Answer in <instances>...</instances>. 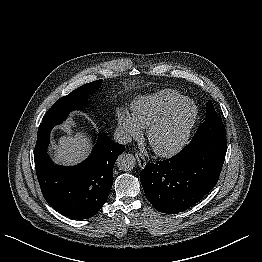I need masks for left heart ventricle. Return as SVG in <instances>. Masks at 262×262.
<instances>
[{
  "instance_id": "obj_1",
  "label": "left heart ventricle",
  "mask_w": 262,
  "mask_h": 262,
  "mask_svg": "<svg viewBox=\"0 0 262 262\" xmlns=\"http://www.w3.org/2000/svg\"><path fill=\"white\" fill-rule=\"evenodd\" d=\"M193 113V105H183L174 116L161 127L154 135V143L159 148L172 146L179 138L180 133L186 126Z\"/></svg>"
}]
</instances>
